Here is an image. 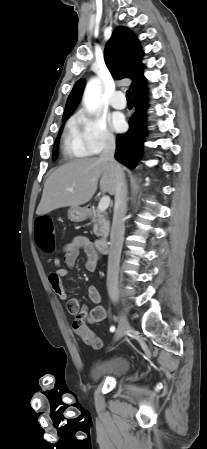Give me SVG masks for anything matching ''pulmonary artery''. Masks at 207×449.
<instances>
[{"label":"pulmonary artery","instance_id":"pulmonary-artery-1","mask_svg":"<svg viewBox=\"0 0 207 449\" xmlns=\"http://www.w3.org/2000/svg\"><path fill=\"white\" fill-rule=\"evenodd\" d=\"M110 104L116 109H123L126 106L124 94L121 91H116L110 99Z\"/></svg>","mask_w":207,"mask_h":449}]
</instances>
